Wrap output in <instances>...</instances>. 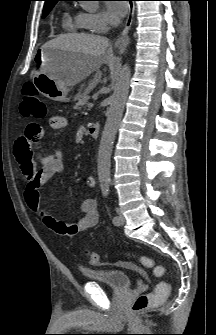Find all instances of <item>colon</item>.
Instances as JSON below:
<instances>
[{"label":"colon","instance_id":"colon-1","mask_svg":"<svg viewBox=\"0 0 216 335\" xmlns=\"http://www.w3.org/2000/svg\"><path fill=\"white\" fill-rule=\"evenodd\" d=\"M20 110L22 115L28 118L42 119L46 115V105L40 98L35 87L30 83H26L23 87ZM83 256L85 261L93 266L101 264V256L96 251L86 249L83 251ZM131 257L133 256L131 255ZM139 262L145 268L151 269L156 277H162L164 275V268L156 265L150 257L142 255L139 257ZM169 294L170 285L166 282H160L152 292L138 296L133 303L132 310L134 312L145 311L164 301Z\"/></svg>","mask_w":216,"mask_h":335}]
</instances>
